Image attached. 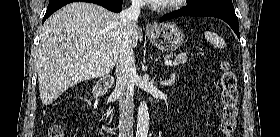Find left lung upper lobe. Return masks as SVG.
Instances as JSON below:
<instances>
[{"mask_svg": "<svg viewBox=\"0 0 280 137\" xmlns=\"http://www.w3.org/2000/svg\"><path fill=\"white\" fill-rule=\"evenodd\" d=\"M204 5H224L233 7L232 0H193L191 7Z\"/></svg>", "mask_w": 280, "mask_h": 137, "instance_id": "left-lung-upper-lobe-1", "label": "left lung upper lobe"}]
</instances>
